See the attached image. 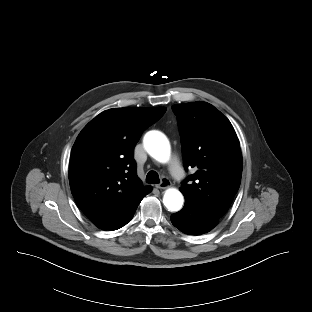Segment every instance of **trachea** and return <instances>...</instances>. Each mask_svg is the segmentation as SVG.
<instances>
[{
  "instance_id": "trachea-1",
  "label": "trachea",
  "mask_w": 312,
  "mask_h": 312,
  "mask_svg": "<svg viewBox=\"0 0 312 312\" xmlns=\"http://www.w3.org/2000/svg\"><path fill=\"white\" fill-rule=\"evenodd\" d=\"M146 182L151 183V184L159 183L160 179H159L158 173L155 171L148 172V174L146 176Z\"/></svg>"
}]
</instances>
